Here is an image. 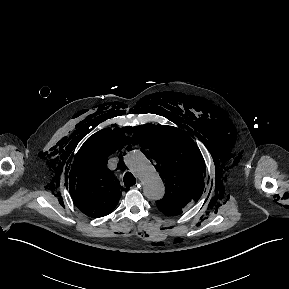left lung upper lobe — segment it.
Here are the masks:
<instances>
[{
    "label": "left lung upper lobe",
    "mask_w": 289,
    "mask_h": 289,
    "mask_svg": "<svg viewBox=\"0 0 289 289\" xmlns=\"http://www.w3.org/2000/svg\"><path fill=\"white\" fill-rule=\"evenodd\" d=\"M141 128L142 148L150 151L145 155L156 162L155 168L166 184L164 198L156 201V206L165 215H180L203 193V156L194 141L180 129L152 124Z\"/></svg>",
    "instance_id": "1"
}]
</instances>
